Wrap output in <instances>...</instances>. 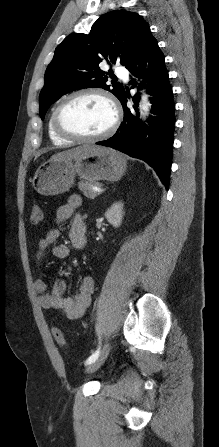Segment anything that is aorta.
I'll use <instances>...</instances> for the list:
<instances>
[{
  "instance_id": "1",
  "label": "aorta",
  "mask_w": 219,
  "mask_h": 447,
  "mask_svg": "<svg viewBox=\"0 0 219 447\" xmlns=\"http://www.w3.org/2000/svg\"><path fill=\"white\" fill-rule=\"evenodd\" d=\"M150 108V103L148 101V98L146 95L142 96V101H141V115L144 117L146 116L147 112L149 111Z\"/></svg>"
}]
</instances>
